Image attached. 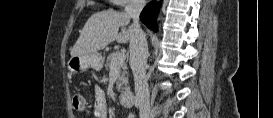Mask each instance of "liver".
Here are the masks:
<instances>
[{"label":"liver","instance_id":"obj_1","mask_svg":"<svg viewBox=\"0 0 273 118\" xmlns=\"http://www.w3.org/2000/svg\"><path fill=\"white\" fill-rule=\"evenodd\" d=\"M130 22L127 13L104 10L94 13L85 23L82 32L71 50V56L88 55L104 49L117 40L126 43L130 40V31L125 30ZM121 33H118L119 28Z\"/></svg>","mask_w":273,"mask_h":118}]
</instances>
